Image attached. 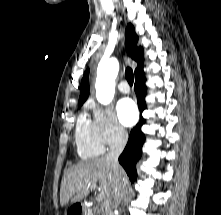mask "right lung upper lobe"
Instances as JSON below:
<instances>
[{
  "label": "right lung upper lobe",
  "mask_w": 221,
  "mask_h": 215,
  "mask_svg": "<svg viewBox=\"0 0 221 215\" xmlns=\"http://www.w3.org/2000/svg\"><path fill=\"white\" fill-rule=\"evenodd\" d=\"M126 48L128 55L137 62L138 66L135 70V78L144 75L143 72V50L140 47L136 48L138 42V36L135 33L134 27L132 24H128L126 27ZM89 69L84 73L83 79L80 86V97L79 103L85 102L89 96V79H88Z\"/></svg>",
  "instance_id": "right-lung-upper-lobe-1"
}]
</instances>
